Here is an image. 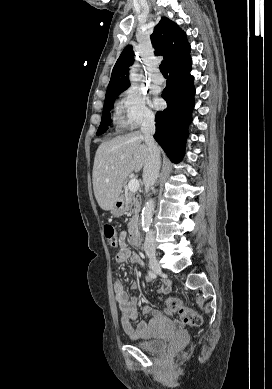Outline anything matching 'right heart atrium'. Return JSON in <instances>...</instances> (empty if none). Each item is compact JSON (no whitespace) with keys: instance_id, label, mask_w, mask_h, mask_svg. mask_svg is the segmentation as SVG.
Masks as SVG:
<instances>
[{"instance_id":"d8ad5b80","label":"right heart atrium","mask_w":272,"mask_h":389,"mask_svg":"<svg viewBox=\"0 0 272 389\" xmlns=\"http://www.w3.org/2000/svg\"><path fill=\"white\" fill-rule=\"evenodd\" d=\"M117 107L124 124L130 128L146 126L154 120L147 96L136 88H128L123 91Z\"/></svg>"}]
</instances>
